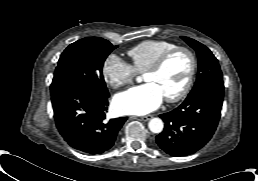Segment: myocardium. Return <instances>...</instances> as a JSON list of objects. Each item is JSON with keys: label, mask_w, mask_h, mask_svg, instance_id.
Returning a JSON list of instances; mask_svg holds the SVG:
<instances>
[{"label": "myocardium", "mask_w": 258, "mask_h": 181, "mask_svg": "<svg viewBox=\"0 0 258 181\" xmlns=\"http://www.w3.org/2000/svg\"><path fill=\"white\" fill-rule=\"evenodd\" d=\"M178 52H184L188 55L190 59V70L183 88L175 95L165 97L167 102L174 103L182 100L189 93L195 78V74L197 71V58L195 53L188 47L185 46H176L159 56V58L145 71L147 73H157L159 72L165 65V63Z\"/></svg>", "instance_id": "f54148a6"}]
</instances>
